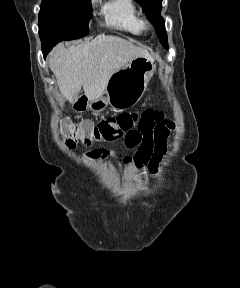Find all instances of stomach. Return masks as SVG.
Wrapping results in <instances>:
<instances>
[{
	"label": "stomach",
	"mask_w": 240,
	"mask_h": 288,
	"mask_svg": "<svg viewBox=\"0 0 240 288\" xmlns=\"http://www.w3.org/2000/svg\"><path fill=\"white\" fill-rule=\"evenodd\" d=\"M154 70V60L145 57L133 58L110 77L105 88L106 96L91 101L90 109L101 112L108 105L119 110L134 106L146 91Z\"/></svg>",
	"instance_id": "obj_1"
}]
</instances>
